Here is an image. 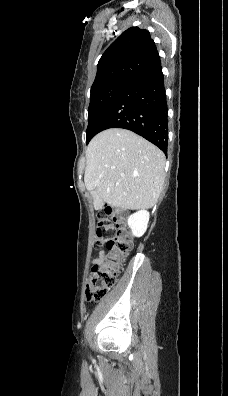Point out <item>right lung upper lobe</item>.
<instances>
[{"mask_svg":"<svg viewBox=\"0 0 228 396\" xmlns=\"http://www.w3.org/2000/svg\"><path fill=\"white\" fill-rule=\"evenodd\" d=\"M159 57L150 33L138 27L124 31L98 62L91 89L113 82L131 83Z\"/></svg>","mask_w":228,"mask_h":396,"instance_id":"obj_1","label":"right lung upper lobe"}]
</instances>
